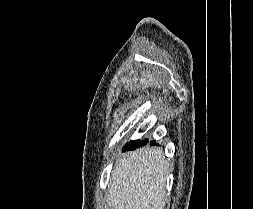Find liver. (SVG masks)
Segmentation results:
<instances>
[{"label":"liver","instance_id":"6515ba94","mask_svg":"<svg viewBox=\"0 0 253 209\" xmlns=\"http://www.w3.org/2000/svg\"><path fill=\"white\" fill-rule=\"evenodd\" d=\"M168 168L159 148L144 147L124 155L110 178V209H163Z\"/></svg>","mask_w":253,"mask_h":209}]
</instances>
